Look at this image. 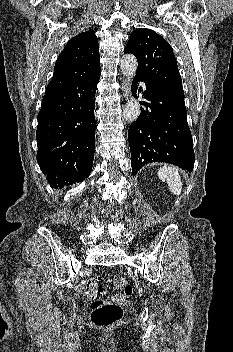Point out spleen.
Returning <instances> with one entry per match:
<instances>
[{"instance_id":"obj_1","label":"spleen","mask_w":233,"mask_h":352,"mask_svg":"<svg viewBox=\"0 0 233 352\" xmlns=\"http://www.w3.org/2000/svg\"><path fill=\"white\" fill-rule=\"evenodd\" d=\"M158 177L162 181H166L169 190L174 195L181 194L183 184L178 169L173 166H164L158 170Z\"/></svg>"}]
</instances>
